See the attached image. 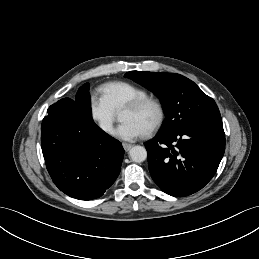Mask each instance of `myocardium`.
I'll use <instances>...</instances> for the list:
<instances>
[{"instance_id": "myocardium-1", "label": "myocardium", "mask_w": 259, "mask_h": 259, "mask_svg": "<svg viewBox=\"0 0 259 259\" xmlns=\"http://www.w3.org/2000/svg\"><path fill=\"white\" fill-rule=\"evenodd\" d=\"M146 105L153 106L156 109L157 116H156L155 121L152 123V125L149 126L145 131L142 132L143 136L152 135L154 132H156L161 127V125L165 119V108H164L163 103L155 97L147 96L144 98L135 99V100L127 103L120 110V113L123 111L134 112V111L140 110L142 107H144Z\"/></svg>"}]
</instances>
